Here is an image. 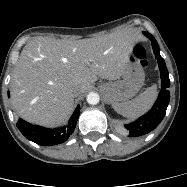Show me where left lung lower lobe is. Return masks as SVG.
Returning a JSON list of instances; mask_svg holds the SVG:
<instances>
[{
	"mask_svg": "<svg viewBox=\"0 0 187 187\" xmlns=\"http://www.w3.org/2000/svg\"><path fill=\"white\" fill-rule=\"evenodd\" d=\"M144 35L151 40L155 58L159 64L161 75V91L150 111H148L145 115L133 123L125 125V128L129 132V137L142 136L154 130L164 118L170 100V92L168 90L170 87L169 74L165 65V61L160 56L159 45L151 34L144 32Z\"/></svg>",
	"mask_w": 187,
	"mask_h": 187,
	"instance_id": "0a47b994",
	"label": "left lung lower lobe"
}]
</instances>
